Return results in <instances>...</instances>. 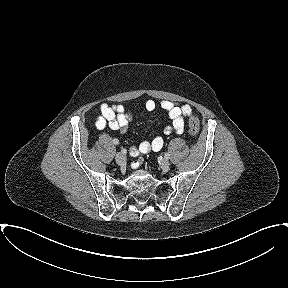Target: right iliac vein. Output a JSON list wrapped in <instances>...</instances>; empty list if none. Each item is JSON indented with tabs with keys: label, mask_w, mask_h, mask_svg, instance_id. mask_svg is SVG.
Listing matches in <instances>:
<instances>
[{
	"label": "right iliac vein",
	"mask_w": 288,
	"mask_h": 288,
	"mask_svg": "<svg viewBox=\"0 0 288 288\" xmlns=\"http://www.w3.org/2000/svg\"><path fill=\"white\" fill-rule=\"evenodd\" d=\"M115 160L118 165H123L126 162V157L123 153H117Z\"/></svg>",
	"instance_id": "obj_1"
}]
</instances>
